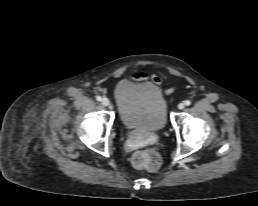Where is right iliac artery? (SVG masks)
Returning <instances> with one entry per match:
<instances>
[{"instance_id":"1","label":"right iliac artery","mask_w":258,"mask_h":206,"mask_svg":"<svg viewBox=\"0 0 258 206\" xmlns=\"http://www.w3.org/2000/svg\"><path fill=\"white\" fill-rule=\"evenodd\" d=\"M96 99H97L98 101H101V100H102L101 96H97Z\"/></svg>"}]
</instances>
